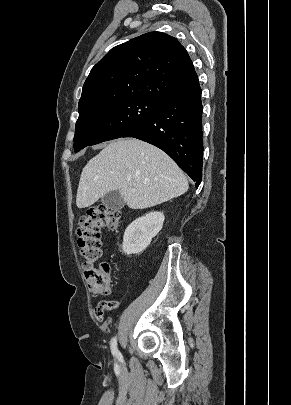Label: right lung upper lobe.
I'll return each instance as SVG.
<instances>
[{
  "instance_id": "cb5924a9",
  "label": "right lung upper lobe",
  "mask_w": 291,
  "mask_h": 405,
  "mask_svg": "<svg viewBox=\"0 0 291 405\" xmlns=\"http://www.w3.org/2000/svg\"><path fill=\"white\" fill-rule=\"evenodd\" d=\"M198 80L185 48L172 36L150 32L111 49L86 79L79 109L124 98L161 100Z\"/></svg>"
}]
</instances>
